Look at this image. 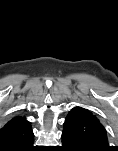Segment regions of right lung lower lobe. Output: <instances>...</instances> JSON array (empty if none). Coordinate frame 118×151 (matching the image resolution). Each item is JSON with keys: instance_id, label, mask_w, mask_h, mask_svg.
<instances>
[{"instance_id": "98d812e1", "label": "right lung lower lobe", "mask_w": 118, "mask_h": 151, "mask_svg": "<svg viewBox=\"0 0 118 151\" xmlns=\"http://www.w3.org/2000/svg\"><path fill=\"white\" fill-rule=\"evenodd\" d=\"M33 150H36L33 146V142L30 143L29 145H27L26 147L20 149L19 151H33Z\"/></svg>"}]
</instances>
